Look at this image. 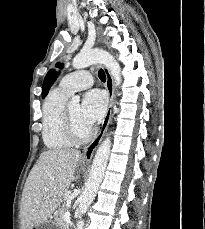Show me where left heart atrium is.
<instances>
[{"mask_svg":"<svg viewBox=\"0 0 205 229\" xmlns=\"http://www.w3.org/2000/svg\"><path fill=\"white\" fill-rule=\"evenodd\" d=\"M107 108L106 94L99 90L93 89L88 91L82 100L81 118L90 127L100 120L105 114Z\"/></svg>","mask_w":205,"mask_h":229,"instance_id":"obj_1","label":"left heart atrium"}]
</instances>
